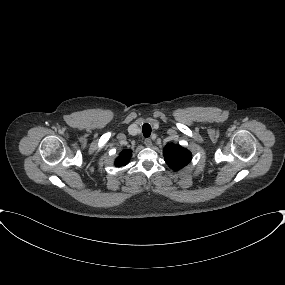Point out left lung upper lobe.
I'll return each instance as SVG.
<instances>
[{"mask_svg": "<svg viewBox=\"0 0 285 285\" xmlns=\"http://www.w3.org/2000/svg\"><path fill=\"white\" fill-rule=\"evenodd\" d=\"M167 165L175 171L185 167L192 158L191 152L173 143L167 144L163 149Z\"/></svg>", "mask_w": 285, "mask_h": 285, "instance_id": "obj_1", "label": "left lung upper lobe"}]
</instances>
